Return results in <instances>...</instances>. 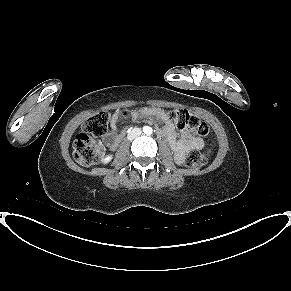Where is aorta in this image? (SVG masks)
<instances>
[{
    "label": "aorta",
    "instance_id": "obj_1",
    "mask_svg": "<svg viewBox=\"0 0 291 291\" xmlns=\"http://www.w3.org/2000/svg\"><path fill=\"white\" fill-rule=\"evenodd\" d=\"M143 132H144L146 135H150V134H152V128L149 127V126H145V127L143 128Z\"/></svg>",
    "mask_w": 291,
    "mask_h": 291
}]
</instances>
